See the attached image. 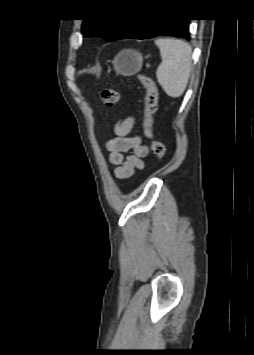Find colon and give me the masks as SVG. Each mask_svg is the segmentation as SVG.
<instances>
[{
  "label": "colon",
  "instance_id": "obj_1",
  "mask_svg": "<svg viewBox=\"0 0 254 355\" xmlns=\"http://www.w3.org/2000/svg\"><path fill=\"white\" fill-rule=\"evenodd\" d=\"M137 78L146 89L145 109L142 122L143 134L149 140L154 156L159 160H163L166 155L165 145L155 140L152 132L154 115L157 111L158 89L149 77L139 75ZM120 97V90L118 88L106 89L100 94L101 103L108 107L117 105L120 102Z\"/></svg>",
  "mask_w": 254,
  "mask_h": 355
}]
</instances>
